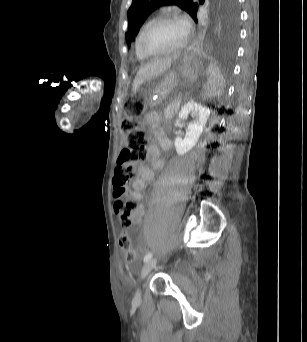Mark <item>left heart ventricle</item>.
<instances>
[{"label":"left heart ventricle","mask_w":307,"mask_h":342,"mask_svg":"<svg viewBox=\"0 0 307 342\" xmlns=\"http://www.w3.org/2000/svg\"><path fill=\"white\" fill-rule=\"evenodd\" d=\"M183 32L179 25L163 21L155 25L144 39V49L157 54L176 47L182 40Z\"/></svg>","instance_id":"1"}]
</instances>
